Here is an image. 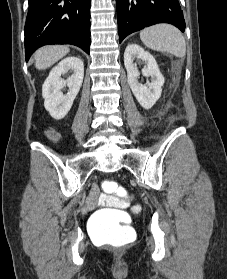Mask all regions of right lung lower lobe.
Segmentation results:
<instances>
[{
    "mask_svg": "<svg viewBox=\"0 0 227 279\" xmlns=\"http://www.w3.org/2000/svg\"><path fill=\"white\" fill-rule=\"evenodd\" d=\"M25 55L47 44H72L90 53L91 0H28Z\"/></svg>",
    "mask_w": 227,
    "mask_h": 279,
    "instance_id": "1",
    "label": "right lung lower lobe"
}]
</instances>
